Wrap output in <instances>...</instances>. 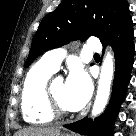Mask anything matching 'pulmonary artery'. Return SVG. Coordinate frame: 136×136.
<instances>
[{
	"label": "pulmonary artery",
	"instance_id": "1",
	"mask_svg": "<svg viewBox=\"0 0 136 136\" xmlns=\"http://www.w3.org/2000/svg\"><path fill=\"white\" fill-rule=\"evenodd\" d=\"M87 48L93 52L99 53L102 50V45L97 38H90L87 41ZM64 57L65 50L62 48H58L45 53L41 61L47 67H49L53 71H56L59 68Z\"/></svg>",
	"mask_w": 136,
	"mask_h": 136
}]
</instances>
